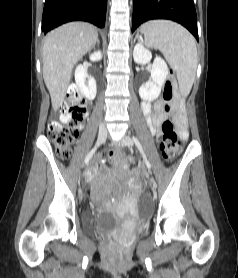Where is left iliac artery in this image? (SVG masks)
Returning a JSON list of instances; mask_svg holds the SVG:
<instances>
[{
	"instance_id": "left-iliac-artery-1",
	"label": "left iliac artery",
	"mask_w": 238,
	"mask_h": 278,
	"mask_svg": "<svg viewBox=\"0 0 238 278\" xmlns=\"http://www.w3.org/2000/svg\"><path fill=\"white\" fill-rule=\"evenodd\" d=\"M132 138H133V141H134L135 145L137 146V148L139 149L140 153L142 154L143 159H144V161H145V164H146L147 168H148V169H151V164H150V162L148 161V159H147V157H146V155H145V153H144V151H143V148H142V146H141L139 140H138L134 135L132 136Z\"/></svg>"
}]
</instances>
